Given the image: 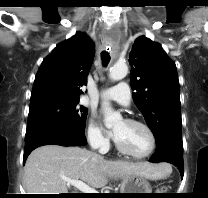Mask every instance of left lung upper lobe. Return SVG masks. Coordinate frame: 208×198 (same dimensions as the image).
<instances>
[{
	"instance_id": "obj_1",
	"label": "left lung upper lobe",
	"mask_w": 208,
	"mask_h": 198,
	"mask_svg": "<svg viewBox=\"0 0 208 198\" xmlns=\"http://www.w3.org/2000/svg\"><path fill=\"white\" fill-rule=\"evenodd\" d=\"M133 99L157 144L171 142L180 148L182 121L175 63L160 44L145 36L136 39L129 54Z\"/></svg>"
}]
</instances>
